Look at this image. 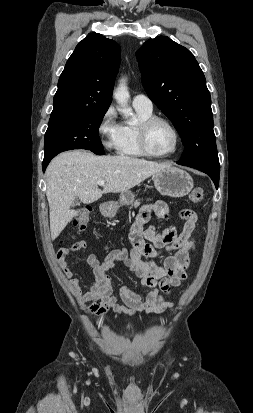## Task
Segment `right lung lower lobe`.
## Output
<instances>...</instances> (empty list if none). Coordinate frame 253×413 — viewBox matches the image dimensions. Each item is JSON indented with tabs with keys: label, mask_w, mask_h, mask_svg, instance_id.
Masks as SVG:
<instances>
[{
	"label": "right lung lower lobe",
	"mask_w": 253,
	"mask_h": 413,
	"mask_svg": "<svg viewBox=\"0 0 253 413\" xmlns=\"http://www.w3.org/2000/svg\"><path fill=\"white\" fill-rule=\"evenodd\" d=\"M92 152H94L97 155H104V150H92ZM53 157L47 158L43 160V171H45L47 165L49 164V162L51 161Z\"/></svg>",
	"instance_id": "98d812e1"
}]
</instances>
